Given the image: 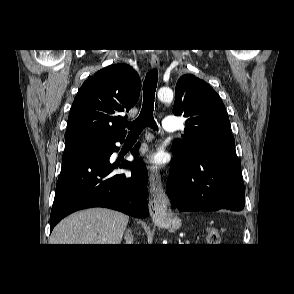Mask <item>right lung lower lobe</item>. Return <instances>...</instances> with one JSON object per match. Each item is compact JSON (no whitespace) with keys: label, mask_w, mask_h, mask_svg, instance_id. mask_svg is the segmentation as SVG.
<instances>
[{"label":"right lung lower lobe","mask_w":294,"mask_h":294,"mask_svg":"<svg viewBox=\"0 0 294 294\" xmlns=\"http://www.w3.org/2000/svg\"><path fill=\"white\" fill-rule=\"evenodd\" d=\"M125 137L102 145L66 152L56 184L50 215V232L65 216L90 207H107L135 217H146L148 211V176L145 164L134 162L110 164L109 158ZM137 148L132 151L137 154ZM132 168L131 174H115L116 168Z\"/></svg>","instance_id":"right-lung-lower-lobe-1"}]
</instances>
